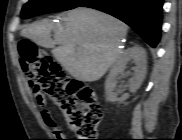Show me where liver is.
I'll return each mask as SVG.
<instances>
[{
    "label": "liver",
    "instance_id": "obj_1",
    "mask_svg": "<svg viewBox=\"0 0 182 140\" xmlns=\"http://www.w3.org/2000/svg\"><path fill=\"white\" fill-rule=\"evenodd\" d=\"M127 30L125 23L111 15L78 7L66 13L63 25L54 26L43 19L26 26L21 35L51 48L56 60L75 79L92 82L119 60L121 40Z\"/></svg>",
    "mask_w": 182,
    "mask_h": 140
}]
</instances>
